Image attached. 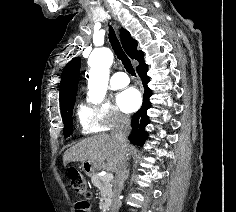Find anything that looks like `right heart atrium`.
I'll list each match as a JSON object with an SVG mask.
<instances>
[{"instance_id": "d8ad5b80", "label": "right heart atrium", "mask_w": 236, "mask_h": 212, "mask_svg": "<svg viewBox=\"0 0 236 212\" xmlns=\"http://www.w3.org/2000/svg\"><path fill=\"white\" fill-rule=\"evenodd\" d=\"M78 118L84 134L110 131L128 122V117L110 100L98 105L82 104Z\"/></svg>"}]
</instances>
